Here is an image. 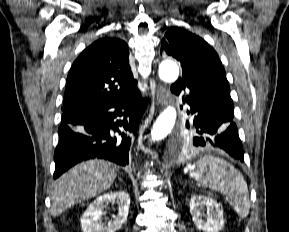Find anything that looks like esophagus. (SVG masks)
<instances>
[{"label": "esophagus", "mask_w": 289, "mask_h": 232, "mask_svg": "<svg viewBox=\"0 0 289 232\" xmlns=\"http://www.w3.org/2000/svg\"><path fill=\"white\" fill-rule=\"evenodd\" d=\"M156 98H157V103L159 105H165L167 102V92L166 89L158 85L157 90H156Z\"/></svg>", "instance_id": "obj_1"}]
</instances>
